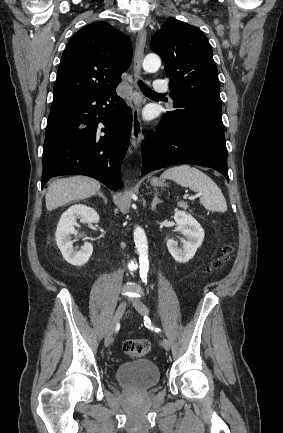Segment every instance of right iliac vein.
Masks as SVG:
<instances>
[{"mask_svg": "<svg viewBox=\"0 0 283 433\" xmlns=\"http://www.w3.org/2000/svg\"><path fill=\"white\" fill-rule=\"evenodd\" d=\"M126 307H127V301L121 302L120 305L118 306V308L114 314V317H113V319H112V321H111V323H110V325L106 331V334H105V338H104L105 347H108L111 344L114 329H115L116 325L118 324V322L120 321V319L122 318Z\"/></svg>", "mask_w": 283, "mask_h": 433, "instance_id": "obj_1", "label": "right iliac vein"}]
</instances>
